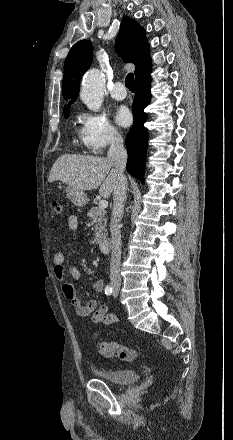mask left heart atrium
I'll list each match as a JSON object with an SVG mask.
<instances>
[{"label":"left heart atrium","mask_w":233,"mask_h":440,"mask_svg":"<svg viewBox=\"0 0 233 440\" xmlns=\"http://www.w3.org/2000/svg\"><path fill=\"white\" fill-rule=\"evenodd\" d=\"M115 121L122 127H127L132 122V115L126 106H119L115 111Z\"/></svg>","instance_id":"obj_1"}]
</instances>
